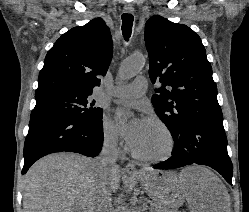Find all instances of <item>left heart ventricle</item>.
I'll return each instance as SVG.
<instances>
[{
    "instance_id": "obj_1",
    "label": "left heart ventricle",
    "mask_w": 249,
    "mask_h": 212,
    "mask_svg": "<svg viewBox=\"0 0 249 212\" xmlns=\"http://www.w3.org/2000/svg\"><path fill=\"white\" fill-rule=\"evenodd\" d=\"M168 149V139L161 128L145 121L141 139L135 153L141 156H158Z\"/></svg>"
}]
</instances>
